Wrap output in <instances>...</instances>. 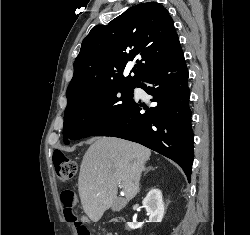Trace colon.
I'll return each instance as SVG.
<instances>
[{
    "mask_svg": "<svg viewBox=\"0 0 250 235\" xmlns=\"http://www.w3.org/2000/svg\"><path fill=\"white\" fill-rule=\"evenodd\" d=\"M53 165L55 174L59 182H68L73 180L78 171L77 163L64 155L63 153L53 154ZM61 202L64 207L65 217L69 222L76 224L79 235H90L89 228L83 222H79L76 217L75 206L76 196L72 191H63L61 193ZM114 223L122 222L121 218L113 219Z\"/></svg>",
    "mask_w": 250,
    "mask_h": 235,
    "instance_id": "colon-1",
    "label": "colon"
}]
</instances>
